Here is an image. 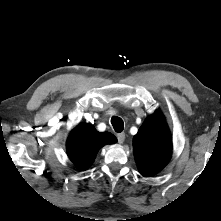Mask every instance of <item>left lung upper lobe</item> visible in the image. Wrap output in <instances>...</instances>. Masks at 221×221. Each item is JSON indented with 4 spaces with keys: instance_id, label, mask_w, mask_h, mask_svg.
<instances>
[{
    "instance_id": "1",
    "label": "left lung upper lobe",
    "mask_w": 221,
    "mask_h": 221,
    "mask_svg": "<svg viewBox=\"0 0 221 221\" xmlns=\"http://www.w3.org/2000/svg\"><path fill=\"white\" fill-rule=\"evenodd\" d=\"M135 161L143 176H152L169 161L172 138L160 110L147 117L133 138Z\"/></svg>"
}]
</instances>
